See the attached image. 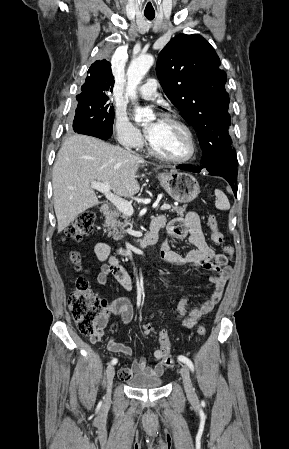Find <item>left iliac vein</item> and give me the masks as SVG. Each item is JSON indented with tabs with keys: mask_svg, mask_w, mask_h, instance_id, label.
<instances>
[{
	"mask_svg": "<svg viewBox=\"0 0 289 449\" xmlns=\"http://www.w3.org/2000/svg\"><path fill=\"white\" fill-rule=\"evenodd\" d=\"M180 374L183 380V385H184V389L185 392L187 394L188 397H194L195 396V392H194V388L192 385V381H191V377H190V372L189 369L186 365H182L181 369H180Z\"/></svg>",
	"mask_w": 289,
	"mask_h": 449,
	"instance_id": "1",
	"label": "left iliac vein"
}]
</instances>
